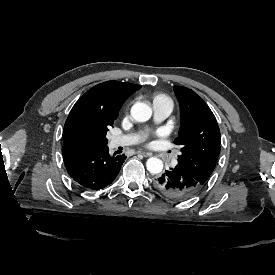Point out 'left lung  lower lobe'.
Listing matches in <instances>:
<instances>
[{
	"label": "left lung lower lobe",
	"mask_w": 275,
	"mask_h": 275,
	"mask_svg": "<svg viewBox=\"0 0 275 275\" xmlns=\"http://www.w3.org/2000/svg\"><path fill=\"white\" fill-rule=\"evenodd\" d=\"M153 184L163 196L173 200L188 199L203 187L178 165L156 178Z\"/></svg>",
	"instance_id": "1"
}]
</instances>
